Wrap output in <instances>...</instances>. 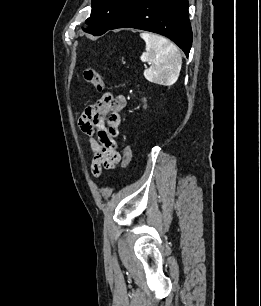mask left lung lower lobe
<instances>
[{"instance_id":"1","label":"left lung lower lobe","mask_w":261,"mask_h":306,"mask_svg":"<svg viewBox=\"0 0 261 306\" xmlns=\"http://www.w3.org/2000/svg\"><path fill=\"white\" fill-rule=\"evenodd\" d=\"M136 28L164 35L189 55L192 30L188 0H133L122 17L111 27Z\"/></svg>"}]
</instances>
